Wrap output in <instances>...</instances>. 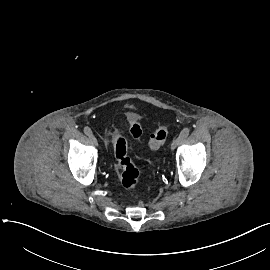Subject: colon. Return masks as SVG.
Returning <instances> with one entry per match:
<instances>
[{
    "instance_id": "5ec220e1",
    "label": "colon",
    "mask_w": 270,
    "mask_h": 270,
    "mask_svg": "<svg viewBox=\"0 0 270 270\" xmlns=\"http://www.w3.org/2000/svg\"><path fill=\"white\" fill-rule=\"evenodd\" d=\"M126 128L134 139L143 134V127L137 117L127 120ZM169 136L167 127L155 128L145 139L143 149H157L161 147ZM114 153L117 160V169L120 175V182L127 192H135L139 187V172L128 154V143L125 131L119 128L114 136Z\"/></svg>"
}]
</instances>
